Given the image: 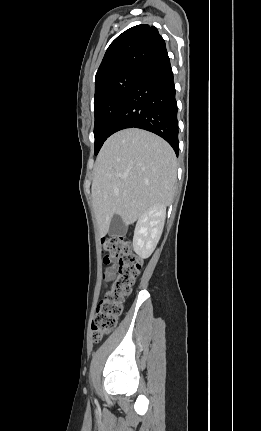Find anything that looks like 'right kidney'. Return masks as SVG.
<instances>
[{
	"instance_id": "obj_1",
	"label": "right kidney",
	"mask_w": 261,
	"mask_h": 431,
	"mask_svg": "<svg viewBox=\"0 0 261 431\" xmlns=\"http://www.w3.org/2000/svg\"><path fill=\"white\" fill-rule=\"evenodd\" d=\"M166 217V207L154 205L148 208L138 219L133 248L141 258H148L161 237Z\"/></svg>"
}]
</instances>
